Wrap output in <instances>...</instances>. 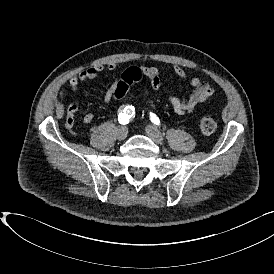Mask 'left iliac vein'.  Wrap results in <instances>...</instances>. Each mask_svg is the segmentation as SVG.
<instances>
[{"mask_svg": "<svg viewBox=\"0 0 274 274\" xmlns=\"http://www.w3.org/2000/svg\"><path fill=\"white\" fill-rule=\"evenodd\" d=\"M146 133L147 135L157 144L162 145L164 143V137L161 132L155 127L154 125H147L146 126Z\"/></svg>", "mask_w": 274, "mask_h": 274, "instance_id": "4c4485c4", "label": "left iliac vein"}]
</instances>
